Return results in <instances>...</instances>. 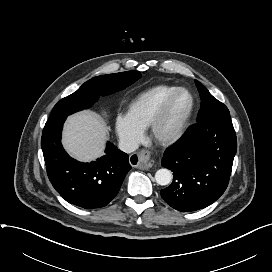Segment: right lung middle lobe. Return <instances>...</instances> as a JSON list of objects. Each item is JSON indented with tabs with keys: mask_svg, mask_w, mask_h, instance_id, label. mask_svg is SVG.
I'll list each match as a JSON object with an SVG mask.
<instances>
[{
	"mask_svg": "<svg viewBox=\"0 0 272 272\" xmlns=\"http://www.w3.org/2000/svg\"><path fill=\"white\" fill-rule=\"evenodd\" d=\"M141 77L138 71H127L94 77L85 82L76 92L60 100L53 108L49 120L68 116L89 108L100 95L125 89Z\"/></svg>",
	"mask_w": 272,
	"mask_h": 272,
	"instance_id": "obj_1",
	"label": "right lung middle lobe"
}]
</instances>
